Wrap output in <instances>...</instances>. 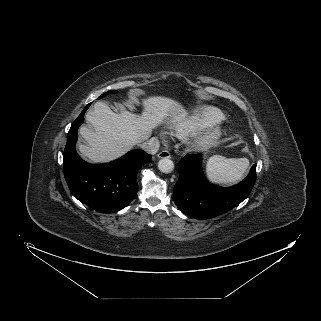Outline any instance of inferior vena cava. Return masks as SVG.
Wrapping results in <instances>:
<instances>
[{
	"instance_id": "1",
	"label": "inferior vena cava",
	"mask_w": 321,
	"mask_h": 321,
	"mask_svg": "<svg viewBox=\"0 0 321 321\" xmlns=\"http://www.w3.org/2000/svg\"><path fill=\"white\" fill-rule=\"evenodd\" d=\"M140 147L146 152L154 155L159 150V143L155 140V138H151L146 142H143L142 144H140Z\"/></svg>"
}]
</instances>
